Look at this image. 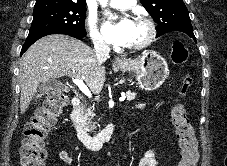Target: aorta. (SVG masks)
Returning <instances> with one entry per match:
<instances>
[{
	"label": "aorta",
	"instance_id": "aorta-1",
	"mask_svg": "<svg viewBox=\"0 0 227 166\" xmlns=\"http://www.w3.org/2000/svg\"><path fill=\"white\" fill-rule=\"evenodd\" d=\"M102 7L107 5V0H98Z\"/></svg>",
	"mask_w": 227,
	"mask_h": 166
}]
</instances>
